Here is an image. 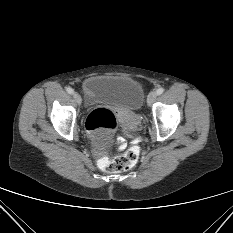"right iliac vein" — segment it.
<instances>
[{"mask_svg":"<svg viewBox=\"0 0 233 233\" xmlns=\"http://www.w3.org/2000/svg\"><path fill=\"white\" fill-rule=\"evenodd\" d=\"M73 97H74V99L76 100V102H77L78 104H81V96H80L79 93L74 92V93H73Z\"/></svg>","mask_w":233,"mask_h":233,"instance_id":"1","label":"right iliac vein"}]
</instances>
